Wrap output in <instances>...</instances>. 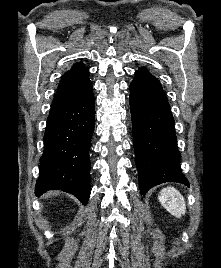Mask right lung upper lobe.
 <instances>
[{"mask_svg":"<svg viewBox=\"0 0 221 268\" xmlns=\"http://www.w3.org/2000/svg\"><path fill=\"white\" fill-rule=\"evenodd\" d=\"M92 91L88 69L76 63L63 75L53 99L52 105H60L75 101Z\"/></svg>","mask_w":221,"mask_h":268,"instance_id":"right-lung-upper-lobe-1","label":"right lung upper lobe"}]
</instances>
